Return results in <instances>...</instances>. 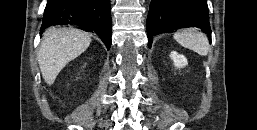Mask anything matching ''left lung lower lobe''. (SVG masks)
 I'll use <instances>...</instances> for the list:
<instances>
[{"label": "left lung lower lobe", "instance_id": "left-lung-lower-lobe-1", "mask_svg": "<svg viewBox=\"0 0 257 130\" xmlns=\"http://www.w3.org/2000/svg\"><path fill=\"white\" fill-rule=\"evenodd\" d=\"M201 27L211 39L206 0H152L147 17L148 46L153 36L185 27Z\"/></svg>", "mask_w": 257, "mask_h": 130}]
</instances>
